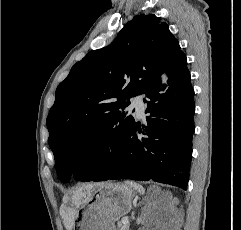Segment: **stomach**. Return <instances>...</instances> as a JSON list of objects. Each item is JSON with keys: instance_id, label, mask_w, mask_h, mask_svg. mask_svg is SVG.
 Instances as JSON below:
<instances>
[{"instance_id": "obj_1", "label": "stomach", "mask_w": 241, "mask_h": 230, "mask_svg": "<svg viewBox=\"0 0 241 230\" xmlns=\"http://www.w3.org/2000/svg\"><path fill=\"white\" fill-rule=\"evenodd\" d=\"M133 188L123 183H100L77 210L73 230H115V222L132 208Z\"/></svg>"}]
</instances>
